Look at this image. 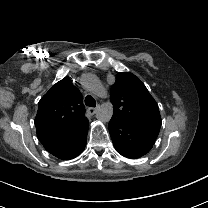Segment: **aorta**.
<instances>
[{
	"instance_id": "762f6f07",
	"label": "aorta",
	"mask_w": 208,
	"mask_h": 208,
	"mask_svg": "<svg viewBox=\"0 0 208 208\" xmlns=\"http://www.w3.org/2000/svg\"><path fill=\"white\" fill-rule=\"evenodd\" d=\"M113 115V107L111 104L104 103L97 108L96 118L103 122H109Z\"/></svg>"
}]
</instances>
